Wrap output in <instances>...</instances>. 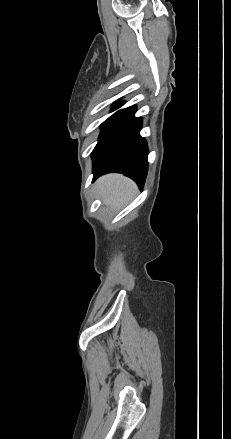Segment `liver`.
<instances>
[{
  "label": "liver",
  "instance_id": "6515ba94",
  "mask_svg": "<svg viewBox=\"0 0 231 439\" xmlns=\"http://www.w3.org/2000/svg\"><path fill=\"white\" fill-rule=\"evenodd\" d=\"M103 202L110 207H118L131 198L136 190L135 183L120 174H108L97 181Z\"/></svg>",
  "mask_w": 231,
  "mask_h": 439
}]
</instances>
